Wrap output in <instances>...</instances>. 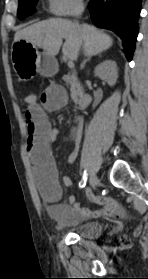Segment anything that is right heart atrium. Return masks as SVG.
I'll return each mask as SVG.
<instances>
[{
  "label": "right heart atrium",
  "instance_id": "1",
  "mask_svg": "<svg viewBox=\"0 0 148 279\" xmlns=\"http://www.w3.org/2000/svg\"><path fill=\"white\" fill-rule=\"evenodd\" d=\"M82 8V0H48V10L56 16L76 15Z\"/></svg>",
  "mask_w": 148,
  "mask_h": 279
}]
</instances>
